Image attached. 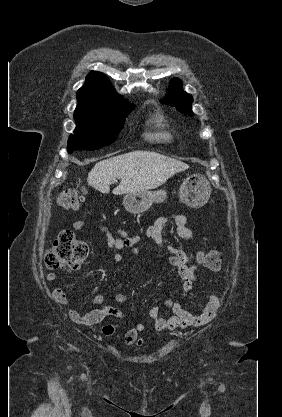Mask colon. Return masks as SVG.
I'll return each mask as SVG.
<instances>
[{
  "mask_svg": "<svg viewBox=\"0 0 282 417\" xmlns=\"http://www.w3.org/2000/svg\"><path fill=\"white\" fill-rule=\"evenodd\" d=\"M57 202L65 209H74L80 203V195L75 189H61L57 192ZM88 257L87 245L72 237L70 231L61 232L46 252L45 265L51 270H63L79 267ZM203 267L216 271L221 267V255L217 251L203 252L198 255Z\"/></svg>",
  "mask_w": 282,
  "mask_h": 417,
  "instance_id": "obj_1",
  "label": "colon"
}]
</instances>
